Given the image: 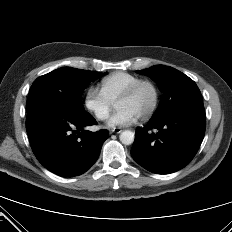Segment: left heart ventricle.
Masks as SVG:
<instances>
[{
	"instance_id": "b2bd125f",
	"label": "left heart ventricle",
	"mask_w": 232,
	"mask_h": 232,
	"mask_svg": "<svg viewBox=\"0 0 232 232\" xmlns=\"http://www.w3.org/2000/svg\"><path fill=\"white\" fill-rule=\"evenodd\" d=\"M154 98L153 90L150 86H142L138 92L131 98L116 104L117 109L125 108L140 117L151 106Z\"/></svg>"
}]
</instances>
